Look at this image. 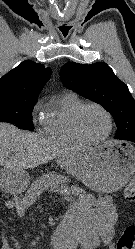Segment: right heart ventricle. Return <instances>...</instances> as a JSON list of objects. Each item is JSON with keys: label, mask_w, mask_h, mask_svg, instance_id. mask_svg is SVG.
<instances>
[{"label": "right heart ventricle", "mask_w": 135, "mask_h": 249, "mask_svg": "<svg viewBox=\"0 0 135 249\" xmlns=\"http://www.w3.org/2000/svg\"><path fill=\"white\" fill-rule=\"evenodd\" d=\"M83 101L74 93L55 98L43 121L44 133L54 141L65 145H80L82 142L74 132L72 118Z\"/></svg>", "instance_id": "obj_1"}]
</instances>
